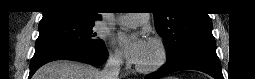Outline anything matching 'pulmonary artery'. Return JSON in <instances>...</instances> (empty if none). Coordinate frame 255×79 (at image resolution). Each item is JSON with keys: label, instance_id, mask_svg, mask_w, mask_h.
I'll return each instance as SVG.
<instances>
[{"label": "pulmonary artery", "instance_id": "1", "mask_svg": "<svg viewBox=\"0 0 255 79\" xmlns=\"http://www.w3.org/2000/svg\"><path fill=\"white\" fill-rule=\"evenodd\" d=\"M150 18V14L144 13V14H125L121 15L117 22L122 25H130L133 23H144L148 22Z\"/></svg>", "mask_w": 255, "mask_h": 79}]
</instances>
